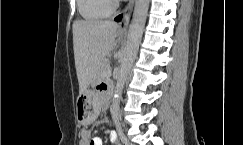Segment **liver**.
<instances>
[{
    "label": "liver",
    "instance_id": "1",
    "mask_svg": "<svg viewBox=\"0 0 243 145\" xmlns=\"http://www.w3.org/2000/svg\"><path fill=\"white\" fill-rule=\"evenodd\" d=\"M117 29L118 24L112 21H74L73 49L80 93L87 90L100 64L115 47Z\"/></svg>",
    "mask_w": 243,
    "mask_h": 145
}]
</instances>
